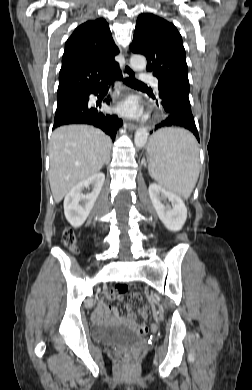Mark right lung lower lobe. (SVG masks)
Returning a JSON list of instances; mask_svg holds the SVG:
<instances>
[{"instance_id": "1", "label": "right lung lower lobe", "mask_w": 252, "mask_h": 390, "mask_svg": "<svg viewBox=\"0 0 252 390\" xmlns=\"http://www.w3.org/2000/svg\"><path fill=\"white\" fill-rule=\"evenodd\" d=\"M121 78L122 74L118 70L106 83L121 80ZM106 83L58 102L53 129L67 124H89L102 129L114 141L118 129L122 126V120L117 115L104 114L88 105L89 95H97ZM109 102L108 100L107 103L109 104Z\"/></svg>"}]
</instances>
